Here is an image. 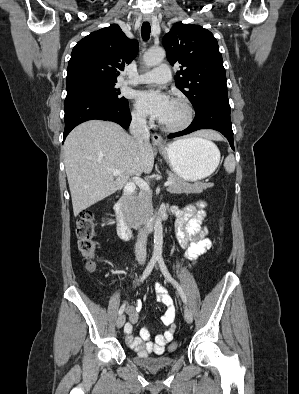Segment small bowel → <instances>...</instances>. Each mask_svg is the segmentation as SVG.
I'll use <instances>...</instances> for the list:
<instances>
[{"mask_svg":"<svg viewBox=\"0 0 299 394\" xmlns=\"http://www.w3.org/2000/svg\"><path fill=\"white\" fill-rule=\"evenodd\" d=\"M205 205V202H198L183 208L174 207L172 209L176 216V239L185 250L184 257L190 261L200 259L212 246V241L207 236L208 230L203 225ZM156 298L166 306V311L161 317V322L166 330L155 336L153 340L150 339V332L146 327L141 329L139 336H133V324L138 320L141 303L140 301H135L126 304L129 322L125 325V338L129 346L139 356L161 355L165 346L173 339L176 329V308L168 290L158 285Z\"/></svg>","mask_w":299,"mask_h":394,"instance_id":"1","label":"small bowel"}]
</instances>
